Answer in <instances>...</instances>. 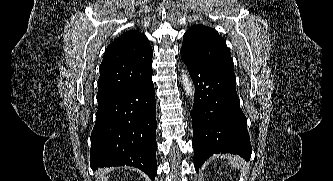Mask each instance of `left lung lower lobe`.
I'll use <instances>...</instances> for the list:
<instances>
[{
    "mask_svg": "<svg viewBox=\"0 0 333 181\" xmlns=\"http://www.w3.org/2000/svg\"><path fill=\"white\" fill-rule=\"evenodd\" d=\"M181 58L195 85L191 117L196 171L213 154H237L249 161L252 147L235 76L183 52Z\"/></svg>",
    "mask_w": 333,
    "mask_h": 181,
    "instance_id": "1",
    "label": "left lung lower lobe"
}]
</instances>
